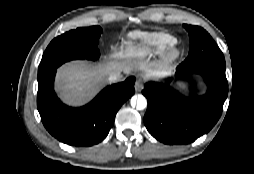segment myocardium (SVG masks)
Instances as JSON below:
<instances>
[{
    "instance_id": "1",
    "label": "myocardium",
    "mask_w": 254,
    "mask_h": 174,
    "mask_svg": "<svg viewBox=\"0 0 254 174\" xmlns=\"http://www.w3.org/2000/svg\"><path fill=\"white\" fill-rule=\"evenodd\" d=\"M182 56V50L178 46L177 42L168 46L163 52L159 64L161 67L167 68L175 64Z\"/></svg>"
}]
</instances>
